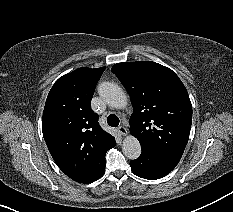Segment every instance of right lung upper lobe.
<instances>
[{"instance_id":"right-lung-upper-lobe-1","label":"right lung upper lobe","mask_w":233,"mask_h":212,"mask_svg":"<svg viewBox=\"0 0 233 212\" xmlns=\"http://www.w3.org/2000/svg\"><path fill=\"white\" fill-rule=\"evenodd\" d=\"M105 67L79 68L59 78L43 111L42 132L59 168L80 183L99 176L115 138L102 130L90 102Z\"/></svg>"}]
</instances>
